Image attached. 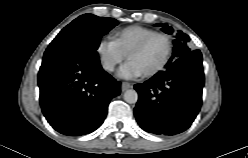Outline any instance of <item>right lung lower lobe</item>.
<instances>
[{
	"instance_id": "1",
	"label": "right lung lower lobe",
	"mask_w": 248,
	"mask_h": 158,
	"mask_svg": "<svg viewBox=\"0 0 248 158\" xmlns=\"http://www.w3.org/2000/svg\"><path fill=\"white\" fill-rule=\"evenodd\" d=\"M38 85L47 121L69 136L96 130L110 100L120 94V82L102 69L96 51L64 45L46 49Z\"/></svg>"
}]
</instances>
